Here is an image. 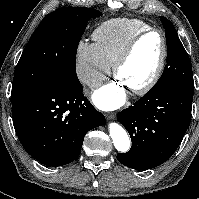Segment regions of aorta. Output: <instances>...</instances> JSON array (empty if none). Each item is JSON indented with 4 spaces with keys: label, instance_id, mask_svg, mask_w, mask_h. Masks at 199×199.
I'll use <instances>...</instances> for the list:
<instances>
[{
    "label": "aorta",
    "instance_id": "762f6f07",
    "mask_svg": "<svg viewBox=\"0 0 199 199\" xmlns=\"http://www.w3.org/2000/svg\"><path fill=\"white\" fill-rule=\"evenodd\" d=\"M109 130L115 148L119 152H127L130 149L131 141L125 129L117 123H111Z\"/></svg>",
    "mask_w": 199,
    "mask_h": 199
}]
</instances>
